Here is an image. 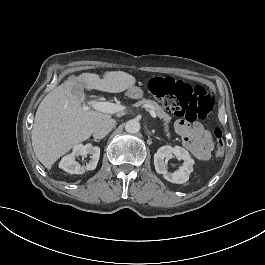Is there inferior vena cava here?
<instances>
[{"instance_id":"602c4592","label":"inferior vena cava","mask_w":265,"mask_h":265,"mask_svg":"<svg viewBox=\"0 0 265 265\" xmlns=\"http://www.w3.org/2000/svg\"><path fill=\"white\" fill-rule=\"evenodd\" d=\"M114 119H106L97 123L93 129V137L96 139L104 138L115 126Z\"/></svg>"}]
</instances>
